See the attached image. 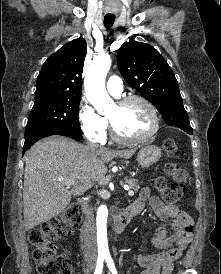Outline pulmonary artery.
<instances>
[{
	"label": "pulmonary artery",
	"mask_w": 221,
	"mask_h": 274,
	"mask_svg": "<svg viewBox=\"0 0 221 274\" xmlns=\"http://www.w3.org/2000/svg\"><path fill=\"white\" fill-rule=\"evenodd\" d=\"M107 90L115 97L121 95L123 91L122 80L118 76H110L106 83Z\"/></svg>",
	"instance_id": "pulmonary-artery-1"
}]
</instances>
